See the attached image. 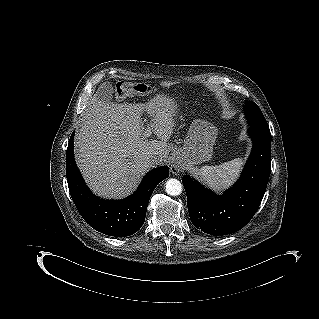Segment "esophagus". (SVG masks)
<instances>
[{"instance_id":"1","label":"esophagus","mask_w":319,"mask_h":319,"mask_svg":"<svg viewBox=\"0 0 319 319\" xmlns=\"http://www.w3.org/2000/svg\"><path fill=\"white\" fill-rule=\"evenodd\" d=\"M170 170L173 174H178L182 171V165L179 162H174L171 167Z\"/></svg>"}]
</instances>
